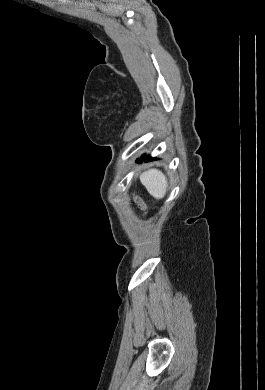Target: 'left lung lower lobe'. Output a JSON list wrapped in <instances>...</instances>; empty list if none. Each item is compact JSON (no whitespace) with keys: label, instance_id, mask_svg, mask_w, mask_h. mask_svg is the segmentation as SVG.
<instances>
[{"label":"left lung lower lobe","instance_id":"obj_1","mask_svg":"<svg viewBox=\"0 0 265 390\" xmlns=\"http://www.w3.org/2000/svg\"><path fill=\"white\" fill-rule=\"evenodd\" d=\"M155 158H151L150 156H144V157H140L139 159H137L138 163H141L143 160L146 162V161H150V160H154Z\"/></svg>","mask_w":265,"mask_h":390}]
</instances>
